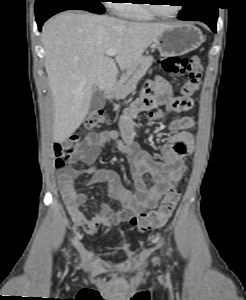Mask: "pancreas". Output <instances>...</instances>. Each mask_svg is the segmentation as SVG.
<instances>
[{
	"label": "pancreas",
	"instance_id": "pancreas-1",
	"mask_svg": "<svg viewBox=\"0 0 246 300\" xmlns=\"http://www.w3.org/2000/svg\"><path fill=\"white\" fill-rule=\"evenodd\" d=\"M152 62V56H143L127 69L114 87L115 97L122 99L134 91L138 81L146 74Z\"/></svg>",
	"mask_w": 246,
	"mask_h": 300
}]
</instances>
